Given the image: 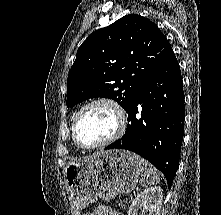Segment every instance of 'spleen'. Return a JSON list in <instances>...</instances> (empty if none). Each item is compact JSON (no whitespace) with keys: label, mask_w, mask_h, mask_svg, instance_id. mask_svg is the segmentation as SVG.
<instances>
[{"label":"spleen","mask_w":221,"mask_h":215,"mask_svg":"<svg viewBox=\"0 0 221 215\" xmlns=\"http://www.w3.org/2000/svg\"><path fill=\"white\" fill-rule=\"evenodd\" d=\"M142 164V178L140 184L143 187L157 184L160 181V176L157 170L145 159H141Z\"/></svg>","instance_id":"3e777b00"}]
</instances>
